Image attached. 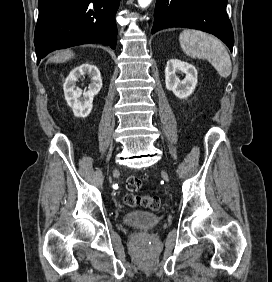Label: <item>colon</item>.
I'll use <instances>...</instances> for the list:
<instances>
[{
    "instance_id": "colon-1",
    "label": "colon",
    "mask_w": 272,
    "mask_h": 282,
    "mask_svg": "<svg viewBox=\"0 0 272 282\" xmlns=\"http://www.w3.org/2000/svg\"><path fill=\"white\" fill-rule=\"evenodd\" d=\"M126 187L130 192H137L142 187V180L130 176L126 180ZM124 204L128 207L142 206L150 211H156L161 206L160 198L152 195L127 194L124 196Z\"/></svg>"
}]
</instances>
